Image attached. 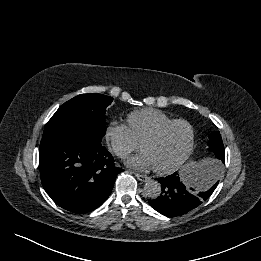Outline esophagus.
Returning <instances> with one entry per match:
<instances>
[{"label":"esophagus","instance_id":"34e87169","mask_svg":"<svg viewBox=\"0 0 261 261\" xmlns=\"http://www.w3.org/2000/svg\"><path fill=\"white\" fill-rule=\"evenodd\" d=\"M135 176L137 177L138 180L142 181V182H147L150 180V178L146 175H141L139 173H135Z\"/></svg>","mask_w":261,"mask_h":261}]
</instances>
